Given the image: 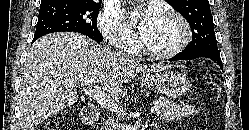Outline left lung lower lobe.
<instances>
[{
	"label": "left lung lower lobe",
	"mask_w": 249,
	"mask_h": 130,
	"mask_svg": "<svg viewBox=\"0 0 249 130\" xmlns=\"http://www.w3.org/2000/svg\"><path fill=\"white\" fill-rule=\"evenodd\" d=\"M199 57H206V58H209V59L213 60L223 70L220 54L200 52V51H182V52L178 53L177 55H175L171 60L172 61H175V60H191V59H196V58H199Z\"/></svg>",
	"instance_id": "left-lung-lower-lobe-1"
}]
</instances>
